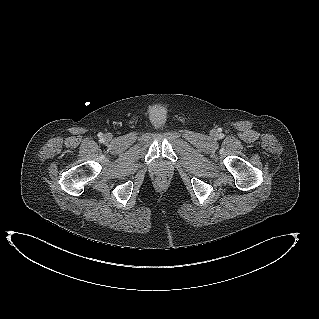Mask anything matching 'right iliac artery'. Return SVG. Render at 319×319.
Masks as SVG:
<instances>
[{
  "label": "right iliac artery",
  "instance_id": "82829eb1",
  "mask_svg": "<svg viewBox=\"0 0 319 319\" xmlns=\"http://www.w3.org/2000/svg\"><path fill=\"white\" fill-rule=\"evenodd\" d=\"M98 136H99L100 138H102V137H103V134H102V133H99Z\"/></svg>",
  "mask_w": 319,
  "mask_h": 319
}]
</instances>
